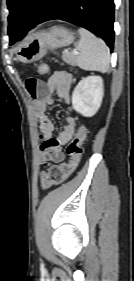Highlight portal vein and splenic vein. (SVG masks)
<instances>
[{
	"instance_id": "1",
	"label": "portal vein and splenic vein",
	"mask_w": 134,
	"mask_h": 281,
	"mask_svg": "<svg viewBox=\"0 0 134 281\" xmlns=\"http://www.w3.org/2000/svg\"><path fill=\"white\" fill-rule=\"evenodd\" d=\"M73 54H74V55H77V54H78V51L74 50V51H73Z\"/></svg>"
}]
</instances>
